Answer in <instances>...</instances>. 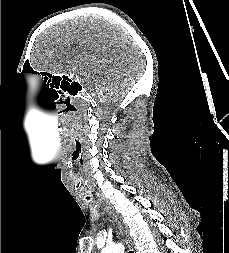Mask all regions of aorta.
<instances>
[{
  "label": "aorta",
  "instance_id": "762f6f07",
  "mask_svg": "<svg viewBox=\"0 0 229 253\" xmlns=\"http://www.w3.org/2000/svg\"><path fill=\"white\" fill-rule=\"evenodd\" d=\"M124 246L121 243L106 246L101 253H124Z\"/></svg>",
  "mask_w": 229,
  "mask_h": 253
}]
</instances>
